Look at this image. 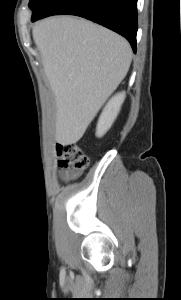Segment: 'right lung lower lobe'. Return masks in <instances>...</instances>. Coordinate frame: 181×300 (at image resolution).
<instances>
[{
	"label": "right lung lower lobe",
	"instance_id": "obj_1",
	"mask_svg": "<svg viewBox=\"0 0 181 300\" xmlns=\"http://www.w3.org/2000/svg\"><path fill=\"white\" fill-rule=\"evenodd\" d=\"M71 14L101 24L124 36L136 52L137 0H57L32 21Z\"/></svg>",
	"mask_w": 181,
	"mask_h": 300
}]
</instances>
